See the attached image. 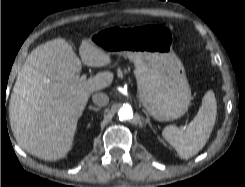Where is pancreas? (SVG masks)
I'll use <instances>...</instances> for the list:
<instances>
[{
	"instance_id": "pancreas-1",
	"label": "pancreas",
	"mask_w": 245,
	"mask_h": 187,
	"mask_svg": "<svg viewBox=\"0 0 245 187\" xmlns=\"http://www.w3.org/2000/svg\"><path fill=\"white\" fill-rule=\"evenodd\" d=\"M129 71H130V68H128V70L127 69H124L123 71L120 68H118L117 75H118V77L122 78L123 77V74H126Z\"/></svg>"
}]
</instances>
